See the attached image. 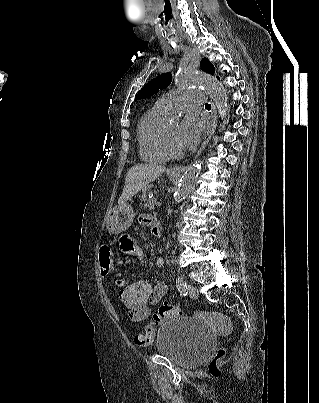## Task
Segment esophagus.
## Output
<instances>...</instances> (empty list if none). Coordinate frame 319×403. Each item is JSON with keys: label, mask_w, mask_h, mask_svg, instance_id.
<instances>
[{"label": "esophagus", "mask_w": 319, "mask_h": 403, "mask_svg": "<svg viewBox=\"0 0 319 403\" xmlns=\"http://www.w3.org/2000/svg\"><path fill=\"white\" fill-rule=\"evenodd\" d=\"M216 126H217V111H216L215 105L212 104L210 127H209V129H208V131H207V133H206V135L204 137V140L202 142L201 147L199 148V150H198V152H197V154L195 156V159L202 153V151L207 146L211 136L213 135V133H214V131L216 129ZM187 167L188 166H181V165L180 166H174V167L170 168V171L175 173V174H181L187 169Z\"/></svg>", "instance_id": "obj_1"}]
</instances>
